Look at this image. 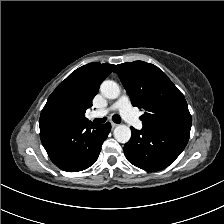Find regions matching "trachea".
Here are the masks:
<instances>
[{
  "instance_id": "1",
  "label": "trachea",
  "mask_w": 224,
  "mask_h": 224,
  "mask_svg": "<svg viewBox=\"0 0 224 224\" xmlns=\"http://www.w3.org/2000/svg\"><path fill=\"white\" fill-rule=\"evenodd\" d=\"M112 119L115 123H120L121 122V117L119 115H114L112 117ZM105 121H106V118H96V119H94L95 123H104Z\"/></svg>"
}]
</instances>
